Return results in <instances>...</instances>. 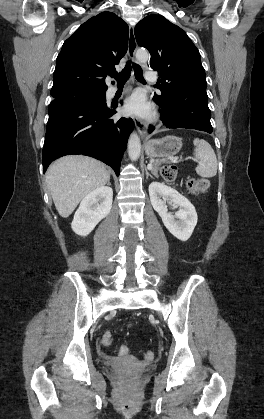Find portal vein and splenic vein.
Instances as JSON below:
<instances>
[{
  "label": "portal vein and splenic vein",
  "instance_id": "portal-vein-and-splenic-vein-1",
  "mask_svg": "<svg viewBox=\"0 0 264 419\" xmlns=\"http://www.w3.org/2000/svg\"><path fill=\"white\" fill-rule=\"evenodd\" d=\"M194 161H197L196 159H194ZM150 169L152 168L151 165L148 166Z\"/></svg>",
  "mask_w": 264,
  "mask_h": 419
}]
</instances>
